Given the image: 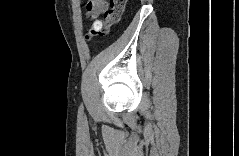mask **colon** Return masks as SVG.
I'll use <instances>...</instances> for the list:
<instances>
[{"mask_svg":"<svg viewBox=\"0 0 239 156\" xmlns=\"http://www.w3.org/2000/svg\"><path fill=\"white\" fill-rule=\"evenodd\" d=\"M126 0H109L108 8L104 12V19L97 20L86 32L85 39L92 41L97 36H106L110 27L120 21L121 15L125 8Z\"/></svg>","mask_w":239,"mask_h":156,"instance_id":"colon-1","label":"colon"}]
</instances>
